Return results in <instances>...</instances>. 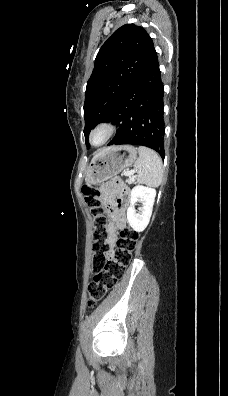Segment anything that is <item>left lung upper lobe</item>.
Here are the masks:
<instances>
[{"instance_id":"1","label":"left lung upper lobe","mask_w":228,"mask_h":396,"mask_svg":"<svg viewBox=\"0 0 228 396\" xmlns=\"http://www.w3.org/2000/svg\"><path fill=\"white\" fill-rule=\"evenodd\" d=\"M154 50L144 28L126 24L117 29L100 48L87 82L84 135L87 146L91 129L110 121L125 92L142 72Z\"/></svg>"}]
</instances>
